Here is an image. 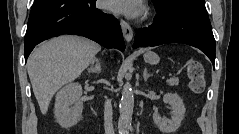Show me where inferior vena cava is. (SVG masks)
I'll return each mask as SVG.
<instances>
[{"label":"inferior vena cava","instance_id":"1","mask_svg":"<svg viewBox=\"0 0 239 134\" xmlns=\"http://www.w3.org/2000/svg\"><path fill=\"white\" fill-rule=\"evenodd\" d=\"M112 105L110 100H106L104 105V128L105 134H114L113 124H112Z\"/></svg>","mask_w":239,"mask_h":134}]
</instances>
